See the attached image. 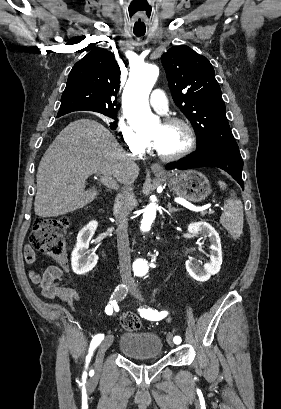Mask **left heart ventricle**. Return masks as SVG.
<instances>
[{"instance_id":"b2bd125f","label":"left heart ventricle","mask_w":281,"mask_h":409,"mask_svg":"<svg viewBox=\"0 0 281 409\" xmlns=\"http://www.w3.org/2000/svg\"><path fill=\"white\" fill-rule=\"evenodd\" d=\"M146 139L160 152L173 154L180 151L187 143V134L180 125H156L147 134Z\"/></svg>"}]
</instances>
